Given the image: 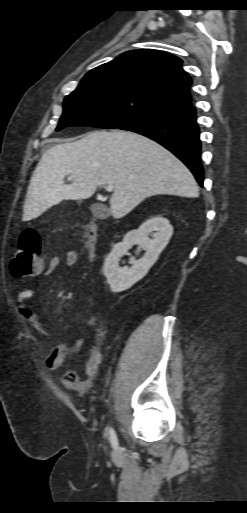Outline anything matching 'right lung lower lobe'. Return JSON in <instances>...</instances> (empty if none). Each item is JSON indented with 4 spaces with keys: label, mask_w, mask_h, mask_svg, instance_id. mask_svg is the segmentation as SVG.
I'll return each mask as SVG.
<instances>
[{
    "label": "right lung lower lobe",
    "mask_w": 247,
    "mask_h": 513,
    "mask_svg": "<svg viewBox=\"0 0 247 513\" xmlns=\"http://www.w3.org/2000/svg\"><path fill=\"white\" fill-rule=\"evenodd\" d=\"M119 129L142 134L167 148L190 169L198 183L203 186L199 127L196 122V109L191 104L138 119Z\"/></svg>",
    "instance_id": "obj_1"
}]
</instances>
